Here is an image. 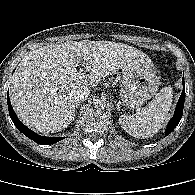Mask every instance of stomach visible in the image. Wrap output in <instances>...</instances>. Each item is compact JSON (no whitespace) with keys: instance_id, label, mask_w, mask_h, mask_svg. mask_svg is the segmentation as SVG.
<instances>
[{"instance_id":"0dacf381","label":"stomach","mask_w":195,"mask_h":195,"mask_svg":"<svg viewBox=\"0 0 195 195\" xmlns=\"http://www.w3.org/2000/svg\"><path fill=\"white\" fill-rule=\"evenodd\" d=\"M160 84L152 60L145 55L124 67L120 96L124 107L138 108L155 95Z\"/></svg>"}]
</instances>
